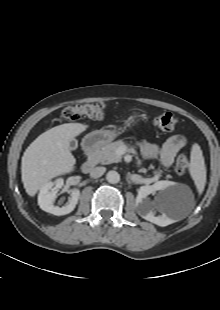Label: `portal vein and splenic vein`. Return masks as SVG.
<instances>
[{
  "label": "portal vein and splenic vein",
  "mask_w": 220,
  "mask_h": 310,
  "mask_svg": "<svg viewBox=\"0 0 220 310\" xmlns=\"http://www.w3.org/2000/svg\"><path fill=\"white\" fill-rule=\"evenodd\" d=\"M118 152L121 154V153H122V148H119V149H118Z\"/></svg>",
  "instance_id": "portal-vein-and-splenic-vein-1"
}]
</instances>
